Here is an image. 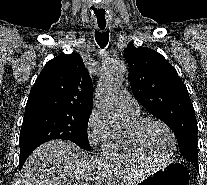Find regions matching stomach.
<instances>
[{"label": "stomach", "instance_id": "stomach-1", "mask_svg": "<svg viewBox=\"0 0 207 185\" xmlns=\"http://www.w3.org/2000/svg\"><path fill=\"white\" fill-rule=\"evenodd\" d=\"M141 185H189L187 169L179 163H170L140 182Z\"/></svg>", "mask_w": 207, "mask_h": 185}]
</instances>
